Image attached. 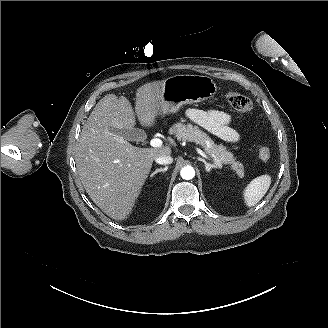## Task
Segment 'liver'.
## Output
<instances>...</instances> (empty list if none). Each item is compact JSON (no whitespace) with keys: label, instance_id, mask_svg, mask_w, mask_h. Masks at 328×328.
<instances>
[{"label":"liver","instance_id":"obj_1","mask_svg":"<svg viewBox=\"0 0 328 328\" xmlns=\"http://www.w3.org/2000/svg\"><path fill=\"white\" fill-rule=\"evenodd\" d=\"M162 81L139 87L135 113L124 96H104L84 124L75 155L81 182L92 201L110 218L124 220L151 170L153 161L171 148H139L108 127L134 128L135 114L143 127L153 126Z\"/></svg>","mask_w":328,"mask_h":328}]
</instances>
